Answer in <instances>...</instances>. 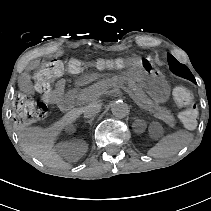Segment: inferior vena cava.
I'll use <instances>...</instances> for the list:
<instances>
[{
  "mask_svg": "<svg viewBox=\"0 0 211 211\" xmlns=\"http://www.w3.org/2000/svg\"><path fill=\"white\" fill-rule=\"evenodd\" d=\"M101 104L98 102H93L85 107H83V114L85 118H91L100 112Z\"/></svg>",
  "mask_w": 211,
  "mask_h": 211,
  "instance_id": "obj_1",
  "label": "inferior vena cava"
}]
</instances>
